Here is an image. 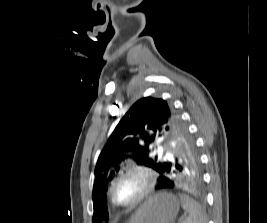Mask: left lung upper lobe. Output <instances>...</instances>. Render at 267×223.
Returning a JSON list of instances; mask_svg holds the SVG:
<instances>
[{"label":"left lung upper lobe","instance_id":"5c2ea615","mask_svg":"<svg viewBox=\"0 0 267 223\" xmlns=\"http://www.w3.org/2000/svg\"><path fill=\"white\" fill-rule=\"evenodd\" d=\"M160 137L173 150L169 160L150 155V145ZM128 157L158 173L201 171L194 141L172 105L163 99L142 98L120 120L99 155L92 192L94 223L96 218L97 222L108 219L106 191Z\"/></svg>","mask_w":267,"mask_h":223}]
</instances>
